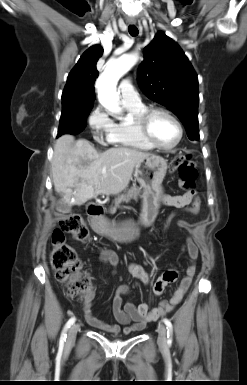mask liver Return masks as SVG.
Masks as SVG:
<instances>
[{
  "label": "liver",
  "mask_w": 247,
  "mask_h": 385,
  "mask_svg": "<svg viewBox=\"0 0 247 385\" xmlns=\"http://www.w3.org/2000/svg\"><path fill=\"white\" fill-rule=\"evenodd\" d=\"M149 155L126 147L98 152L89 141H75L65 134L54 146L55 191L68 205L83 204L99 194H119L128 186L137 162Z\"/></svg>",
  "instance_id": "1"
}]
</instances>
